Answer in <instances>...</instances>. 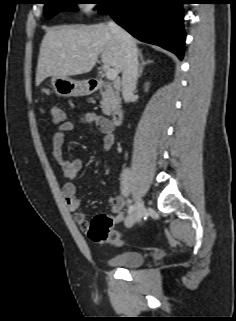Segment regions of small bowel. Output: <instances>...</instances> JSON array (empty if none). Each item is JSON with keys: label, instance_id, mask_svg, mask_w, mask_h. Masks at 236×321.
<instances>
[{"label": "small bowel", "instance_id": "obj_1", "mask_svg": "<svg viewBox=\"0 0 236 321\" xmlns=\"http://www.w3.org/2000/svg\"><path fill=\"white\" fill-rule=\"evenodd\" d=\"M82 119L85 124L96 126L104 134V149L108 150L114 143L115 127L113 123L108 118L94 112L85 113ZM73 128V123L65 122L52 136V156L61 169L63 176L67 179L74 178L82 168V161L80 159H68L63 155L62 151L64 142ZM62 194L68 210L74 213L76 224L81 229L86 230L88 221L83 213L77 212L81 199L77 195L75 184L71 181L64 183ZM126 195L127 190L123 186L120 195L110 198L111 210L116 214L117 222L122 219Z\"/></svg>", "mask_w": 236, "mask_h": 321}]
</instances>
